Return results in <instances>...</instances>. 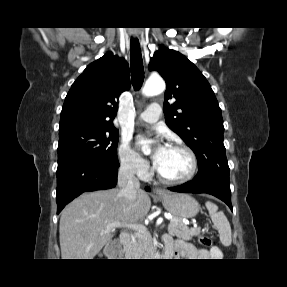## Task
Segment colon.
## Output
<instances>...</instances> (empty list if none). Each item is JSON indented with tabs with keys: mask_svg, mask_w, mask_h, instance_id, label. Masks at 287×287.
Returning <instances> with one entry per match:
<instances>
[{
	"mask_svg": "<svg viewBox=\"0 0 287 287\" xmlns=\"http://www.w3.org/2000/svg\"><path fill=\"white\" fill-rule=\"evenodd\" d=\"M199 242L204 247H211L212 246V239L208 235H201L199 237ZM112 253L115 255L119 252L118 244H112L111 246Z\"/></svg>",
	"mask_w": 287,
	"mask_h": 287,
	"instance_id": "obj_1",
	"label": "colon"
}]
</instances>
